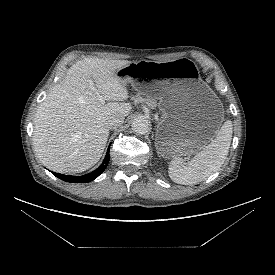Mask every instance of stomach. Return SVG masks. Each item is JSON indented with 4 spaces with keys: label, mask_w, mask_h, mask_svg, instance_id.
I'll return each instance as SVG.
<instances>
[{
    "label": "stomach",
    "mask_w": 275,
    "mask_h": 275,
    "mask_svg": "<svg viewBox=\"0 0 275 275\" xmlns=\"http://www.w3.org/2000/svg\"><path fill=\"white\" fill-rule=\"evenodd\" d=\"M117 76L138 93L159 99L157 146L165 157L192 156L218 133L222 104L192 60H140L119 69Z\"/></svg>",
    "instance_id": "0dacf381"
}]
</instances>
